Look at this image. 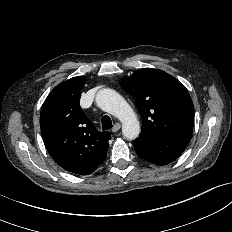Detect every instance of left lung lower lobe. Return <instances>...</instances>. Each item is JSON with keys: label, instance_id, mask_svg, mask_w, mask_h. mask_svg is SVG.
Listing matches in <instances>:
<instances>
[{"label": "left lung lower lobe", "instance_id": "left-lung-lower-lobe-1", "mask_svg": "<svg viewBox=\"0 0 232 232\" xmlns=\"http://www.w3.org/2000/svg\"><path fill=\"white\" fill-rule=\"evenodd\" d=\"M190 139L181 137L147 139L137 138L134 149L140 158L156 165H165L177 159Z\"/></svg>", "mask_w": 232, "mask_h": 232}]
</instances>
